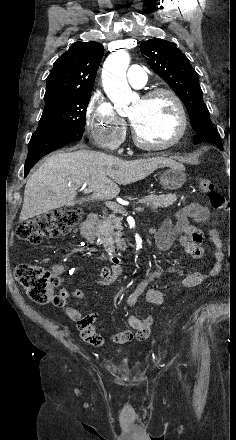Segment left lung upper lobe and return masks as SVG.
Instances as JSON below:
<instances>
[{
	"mask_svg": "<svg viewBox=\"0 0 236 440\" xmlns=\"http://www.w3.org/2000/svg\"><path fill=\"white\" fill-rule=\"evenodd\" d=\"M140 49L149 57L150 67L169 84L186 106L192 128L198 132L212 126L209 111L203 101L198 74L176 45L155 38L143 42Z\"/></svg>",
	"mask_w": 236,
	"mask_h": 440,
	"instance_id": "5c2ea615",
	"label": "left lung upper lobe"
}]
</instances>
